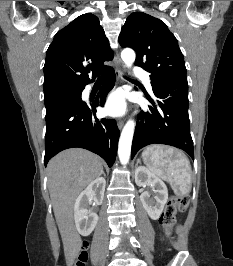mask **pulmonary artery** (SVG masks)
I'll use <instances>...</instances> for the list:
<instances>
[{"label": "pulmonary artery", "instance_id": "pulmonary-artery-1", "mask_svg": "<svg viewBox=\"0 0 233 266\" xmlns=\"http://www.w3.org/2000/svg\"><path fill=\"white\" fill-rule=\"evenodd\" d=\"M135 76L138 77L139 79H141L146 87L151 90L152 86H151V80L149 78V75L147 72L143 71V70H135L134 72Z\"/></svg>", "mask_w": 233, "mask_h": 266}]
</instances>
